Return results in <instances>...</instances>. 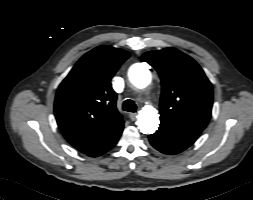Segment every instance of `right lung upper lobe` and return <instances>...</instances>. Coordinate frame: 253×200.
Wrapping results in <instances>:
<instances>
[{
	"label": "right lung upper lobe",
	"instance_id": "cb5924a9",
	"mask_svg": "<svg viewBox=\"0 0 253 200\" xmlns=\"http://www.w3.org/2000/svg\"><path fill=\"white\" fill-rule=\"evenodd\" d=\"M130 53L99 46L86 53L59 85L54 112L66 140L86 154L121 136L124 121L116 108L111 79Z\"/></svg>",
	"mask_w": 253,
	"mask_h": 200
}]
</instances>
